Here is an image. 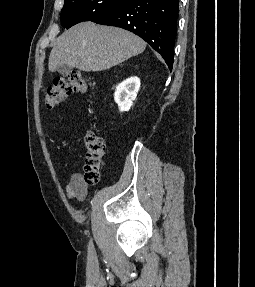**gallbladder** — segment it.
<instances>
[{"label": "gallbladder", "instance_id": "obj_1", "mask_svg": "<svg viewBox=\"0 0 255 287\" xmlns=\"http://www.w3.org/2000/svg\"><path fill=\"white\" fill-rule=\"evenodd\" d=\"M71 70H73L72 66H66V64H64V66H58V68H56V72H59V74H62V76H68Z\"/></svg>", "mask_w": 255, "mask_h": 287}]
</instances>
